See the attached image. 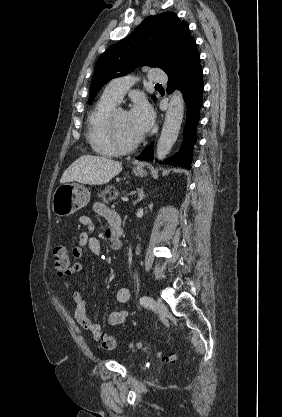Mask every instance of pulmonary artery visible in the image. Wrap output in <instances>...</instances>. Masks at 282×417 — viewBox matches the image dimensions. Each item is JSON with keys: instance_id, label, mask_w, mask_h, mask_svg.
Listing matches in <instances>:
<instances>
[{"instance_id": "e3ab8cb5", "label": "pulmonary artery", "mask_w": 282, "mask_h": 417, "mask_svg": "<svg viewBox=\"0 0 282 417\" xmlns=\"http://www.w3.org/2000/svg\"><path fill=\"white\" fill-rule=\"evenodd\" d=\"M151 72L153 74H148L147 76L148 83H168V74H158L160 72V67L158 65H153L151 67ZM133 82L131 76L116 78L107 85L103 92V96L119 103L125 92L132 86Z\"/></svg>"}]
</instances>
